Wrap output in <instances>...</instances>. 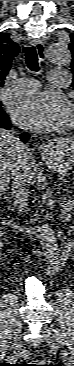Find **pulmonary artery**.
<instances>
[{"instance_id": "e3ab8cb5", "label": "pulmonary artery", "mask_w": 74, "mask_h": 366, "mask_svg": "<svg viewBox=\"0 0 74 366\" xmlns=\"http://www.w3.org/2000/svg\"><path fill=\"white\" fill-rule=\"evenodd\" d=\"M69 77V73L63 69L51 71L49 75L51 85L56 88L64 87ZM39 86V82L35 79L21 78L11 84L10 90L14 94H30L37 91Z\"/></svg>"}]
</instances>
